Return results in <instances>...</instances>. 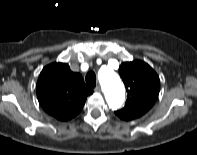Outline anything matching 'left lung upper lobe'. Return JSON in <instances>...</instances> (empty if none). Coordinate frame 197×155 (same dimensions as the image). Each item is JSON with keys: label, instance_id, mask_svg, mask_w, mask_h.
<instances>
[{"label": "left lung upper lobe", "instance_id": "left-lung-upper-lobe-1", "mask_svg": "<svg viewBox=\"0 0 197 155\" xmlns=\"http://www.w3.org/2000/svg\"><path fill=\"white\" fill-rule=\"evenodd\" d=\"M119 74L128 95L125 107L115 111V114L126 121L141 117L154 105L158 97V75L147 63L140 60L122 63Z\"/></svg>", "mask_w": 197, "mask_h": 155}]
</instances>
